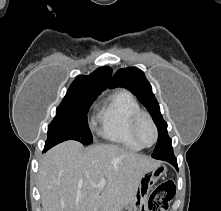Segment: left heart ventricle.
Masks as SVG:
<instances>
[{"instance_id":"b2bd125f","label":"left heart ventricle","mask_w":221,"mask_h":211,"mask_svg":"<svg viewBox=\"0 0 221 211\" xmlns=\"http://www.w3.org/2000/svg\"><path fill=\"white\" fill-rule=\"evenodd\" d=\"M139 135L144 144L150 145L153 143L155 135L151 124L147 120H143L139 127Z\"/></svg>"}]
</instances>
